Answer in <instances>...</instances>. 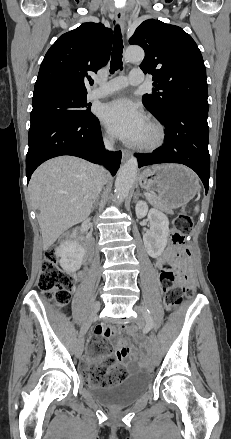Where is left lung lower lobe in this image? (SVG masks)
I'll use <instances>...</instances> for the list:
<instances>
[{
	"instance_id": "0a47b994",
	"label": "left lung lower lobe",
	"mask_w": 231,
	"mask_h": 439,
	"mask_svg": "<svg viewBox=\"0 0 231 439\" xmlns=\"http://www.w3.org/2000/svg\"><path fill=\"white\" fill-rule=\"evenodd\" d=\"M208 102L187 99L172 104L156 117L165 126V143L149 154H136L139 167L157 163H180L201 178L206 193L209 188Z\"/></svg>"
}]
</instances>
